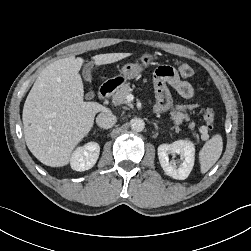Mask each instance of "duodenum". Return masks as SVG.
Listing matches in <instances>:
<instances>
[{"label": "duodenum", "mask_w": 251, "mask_h": 251, "mask_svg": "<svg viewBox=\"0 0 251 251\" xmlns=\"http://www.w3.org/2000/svg\"><path fill=\"white\" fill-rule=\"evenodd\" d=\"M119 82L118 81H109L101 86V88L98 91V97L100 99H106L108 98L118 87Z\"/></svg>", "instance_id": "410a0bca"}]
</instances>
